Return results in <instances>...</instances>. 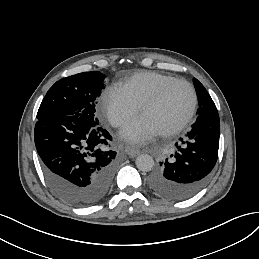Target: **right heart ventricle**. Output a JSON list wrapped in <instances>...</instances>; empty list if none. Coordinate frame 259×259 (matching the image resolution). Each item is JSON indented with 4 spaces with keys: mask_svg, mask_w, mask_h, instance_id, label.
I'll list each match as a JSON object with an SVG mask.
<instances>
[{
    "mask_svg": "<svg viewBox=\"0 0 259 259\" xmlns=\"http://www.w3.org/2000/svg\"><path fill=\"white\" fill-rule=\"evenodd\" d=\"M172 77L174 76L169 73L142 71L128 77L120 83L119 87L136 103L141 105L156 92L161 83Z\"/></svg>",
    "mask_w": 259,
    "mask_h": 259,
    "instance_id": "e07e8e85",
    "label": "right heart ventricle"
}]
</instances>
